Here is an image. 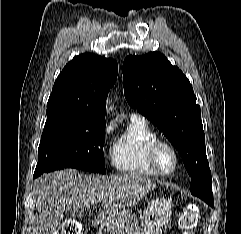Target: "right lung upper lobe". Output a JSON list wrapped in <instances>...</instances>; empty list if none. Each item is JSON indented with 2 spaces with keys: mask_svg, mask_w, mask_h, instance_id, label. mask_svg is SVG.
<instances>
[{
  "mask_svg": "<svg viewBox=\"0 0 241 234\" xmlns=\"http://www.w3.org/2000/svg\"><path fill=\"white\" fill-rule=\"evenodd\" d=\"M117 75L113 59L90 53L76 56L57 77L47 110H70L82 121L105 124V101Z\"/></svg>",
  "mask_w": 241,
  "mask_h": 234,
  "instance_id": "obj_1",
  "label": "right lung upper lobe"
}]
</instances>
